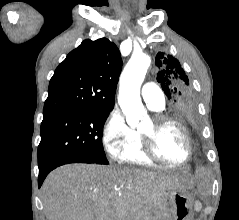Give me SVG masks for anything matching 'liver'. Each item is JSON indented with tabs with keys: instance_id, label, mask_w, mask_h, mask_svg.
<instances>
[{
	"instance_id": "6515ba94",
	"label": "liver",
	"mask_w": 239,
	"mask_h": 220,
	"mask_svg": "<svg viewBox=\"0 0 239 220\" xmlns=\"http://www.w3.org/2000/svg\"><path fill=\"white\" fill-rule=\"evenodd\" d=\"M185 180L153 171L68 164L52 171L41 191L47 220H160L167 191Z\"/></svg>"
}]
</instances>
